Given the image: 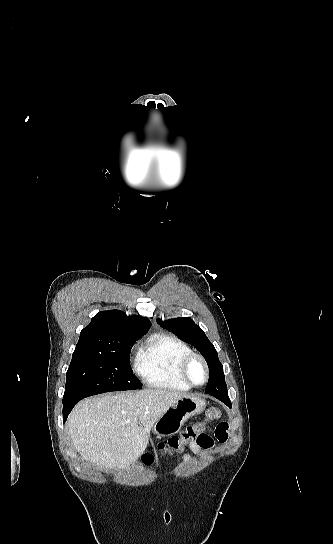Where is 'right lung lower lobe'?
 Here are the masks:
<instances>
[{"label":"right lung lower lobe","instance_id":"right-lung-lower-lobe-1","mask_svg":"<svg viewBox=\"0 0 333 544\" xmlns=\"http://www.w3.org/2000/svg\"><path fill=\"white\" fill-rule=\"evenodd\" d=\"M78 402L79 401H63V422L66 421L69 413Z\"/></svg>","mask_w":333,"mask_h":544}]
</instances>
